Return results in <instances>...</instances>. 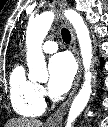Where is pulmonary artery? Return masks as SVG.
<instances>
[{
    "label": "pulmonary artery",
    "instance_id": "e3ab8cb5",
    "mask_svg": "<svg viewBox=\"0 0 108 127\" xmlns=\"http://www.w3.org/2000/svg\"><path fill=\"white\" fill-rule=\"evenodd\" d=\"M57 49L58 45L55 41H46L42 46V50L45 53H54Z\"/></svg>",
    "mask_w": 108,
    "mask_h": 127
}]
</instances>
